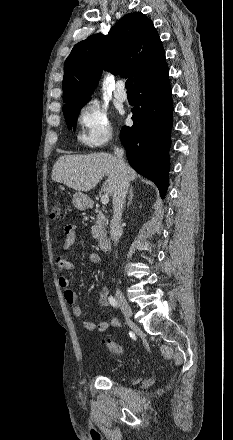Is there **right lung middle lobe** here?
Here are the masks:
<instances>
[{
  "label": "right lung middle lobe",
  "mask_w": 233,
  "mask_h": 440,
  "mask_svg": "<svg viewBox=\"0 0 233 440\" xmlns=\"http://www.w3.org/2000/svg\"><path fill=\"white\" fill-rule=\"evenodd\" d=\"M86 103L87 102H83L63 108V114L69 129L73 128L75 130L78 113Z\"/></svg>",
  "instance_id": "1"
}]
</instances>
